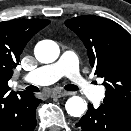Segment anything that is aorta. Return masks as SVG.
<instances>
[{
  "mask_svg": "<svg viewBox=\"0 0 131 131\" xmlns=\"http://www.w3.org/2000/svg\"><path fill=\"white\" fill-rule=\"evenodd\" d=\"M59 46L51 40H43L35 47V57L41 63H52L59 57ZM65 109L70 116L80 117L87 109V103L79 96L66 101Z\"/></svg>",
  "mask_w": 131,
  "mask_h": 131,
  "instance_id": "aorta-1",
  "label": "aorta"
}]
</instances>
